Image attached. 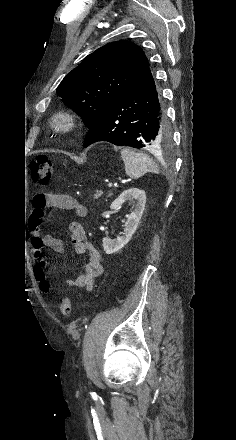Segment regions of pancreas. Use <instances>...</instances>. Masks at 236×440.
<instances>
[{"label":"pancreas","mask_w":236,"mask_h":440,"mask_svg":"<svg viewBox=\"0 0 236 440\" xmlns=\"http://www.w3.org/2000/svg\"><path fill=\"white\" fill-rule=\"evenodd\" d=\"M102 192L101 191H96V193L94 194V199H98L99 197H101Z\"/></svg>","instance_id":"1"}]
</instances>
